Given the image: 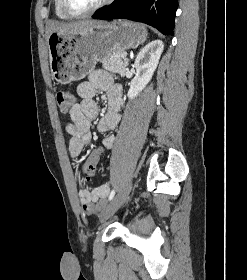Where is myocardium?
I'll use <instances>...</instances> for the list:
<instances>
[{"instance_id":"1","label":"myocardium","mask_w":247,"mask_h":280,"mask_svg":"<svg viewBox=\"0 0 247 280\" xmlns=\"http://www.w3.org/2000/svg\"><path fill=\"white\" fill-rule=\"evenodd\" d=\"M113 0H102L94 7L84 10V11H75L69 5V0H61V8L63 12L70 18H79L91 15L105 6L109 5Z\"/></svg>"}]
</instances>
